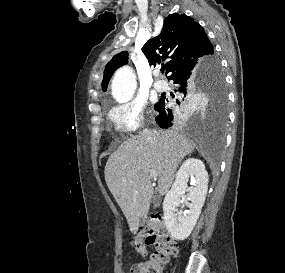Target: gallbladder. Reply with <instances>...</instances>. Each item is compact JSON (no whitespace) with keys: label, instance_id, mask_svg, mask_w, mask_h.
Here are the masks:
<instances>
[{"label":"gallbladder","instance_id":"1","mask_svg":"<svg viewBox=\"0 0 285 273\" xmlns=\"http://www.w3.org/2000/svg\"><path fill=\"white\" fill-rule=\"evenodd\" d=\"M152 203H153L154 207H157V206L159 205V203H160V195L155 194V195L153 196V201H152Z\"/></svg>","mask_w":285,"mask_h":273}]
</instances>
